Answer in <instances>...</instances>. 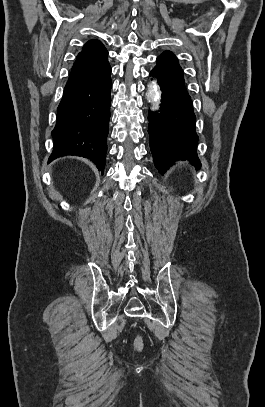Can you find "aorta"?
Here are the masks:
<instances>
[{
    "instance_id": "obj_1",
    "label": "aorta",
    "mask_w": 265,
    "mask_h": 407,
    "mask_svg": "<svg viewBox=\"0 0 265 407\" xmlns=\"http://www.w3.org/2000/svg\"><path fill=\"white\" fill-rule=\"evenodd\" d=\"M160 89L156 81H152L148 84V89L146 93L147 100L155 107L160 105Z\"/></svg>"
}]
</instances>
